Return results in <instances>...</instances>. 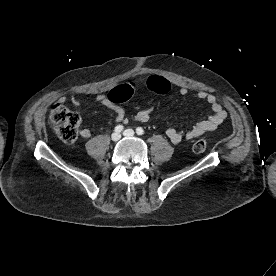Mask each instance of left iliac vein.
<instances>
[{
	"instance_id": "obj_1",
	"label": "left iliac vein",
	"mask_w": 276,
	"mask_h": 276,
	"mask_svg": "<svg viewBox=\"0 0 276 276\" xmlns=\"http://www.w3.org/2000/svg\"><path fill=\"white\" fill-rule=\"evenodd\" d=\"M135 134L134 130L132 129H126L124 132H123V135L126 136V137H133Z\"/></svg>"
}]
</instances>
